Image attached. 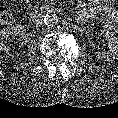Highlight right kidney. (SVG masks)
Segmentation results:
<instances>
[{"label":"right kidney","instance_id":"ca27d5eb","mask_svg":"<svg viewBox=\"0 0 118 118\" xmlns=\"http://www.w3.org/2000/svg\"><path fill=\"white\" fill-rule=\"evenodd\" d=\"M25 28L23 25L8 26L0 31V51L8 52L10 46L6 44L8 39L12 36H19L20 39L24 37Z\"/></svg>","mask_w":118,"mask_h":118}]
</instances>
